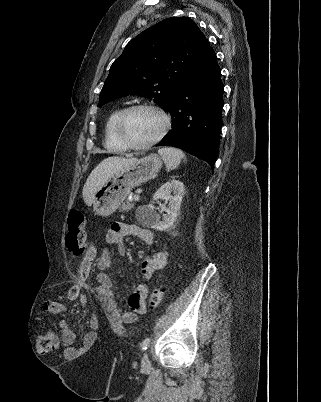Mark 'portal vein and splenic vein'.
<instances>
[{
	"instance_id": "1",
	"label": "portal vein and splenic vein",
	"mask_w": 321,
	"mask_h": 402,
	"mask_svg": "<svg viewBox=\"0 0 321 402\" xmlns=\"http://www.w3.org/2000/svg\"><path fill=\"white\" fill-rule=\"evenodd\" d=\"M134 199L139 200V195L138 194L134 195Z\"/></svg>"
}]
</instances>
